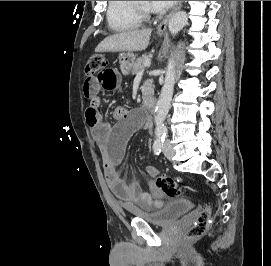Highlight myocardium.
Returning <instances> with one entry per match:
<instances>
[{
  "mask_svg": "<svg viewBox=\"0 0 271 266\" xmlns=\"http://www.w3.org/2000/svg\"><path fill=\"white\" fill-rule=\"evenodd\" d=\"M131 8L140 18L143 20L149 19L152 15V12L150 9H144L136 5L135 1H130Z\"/></svg>",
  "mask_w": 271,
  "mask_h": 266,
  "instance_id": "1",
  "label": "myocardium"
}]
</instances>
